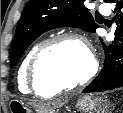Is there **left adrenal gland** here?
<instances>
[{"label": "left adrenal gland", "mask_w": 123, "mask_h": 113, "mask_svg": "<svg viewBox=\"0 0 123 113\" xmlns=\"http://www.w3.org/2000/svg\"><path fill=\"white\" fill-rule=\"evenodd\" d=\"M101 113H107L108 111H106V109H100ZM98 111V112H100Z\"/></svg>", "instance_id": "1"}]
</instances>
